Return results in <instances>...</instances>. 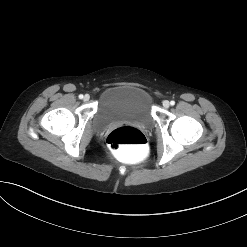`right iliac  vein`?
I'll use <instances>...</instances> for the list:
<instances>
[{
    "instance_id": "obj_1",
    "label": "right iliac vein",
    "mask_w": 247,
    "mask_h": 247,
    "mask_svg": "<svg viewBox=\"0 0 247 247\" xmlns=\"http://www.w3.org/2000/svg\"><path fill=\"white\" fill-rule=\"evenodd\" d=\"M89 99H90V96H89L88 94H86V95L83 97V100H84L85 102L89 101Z\"/></svg>"
}]
</instances>
